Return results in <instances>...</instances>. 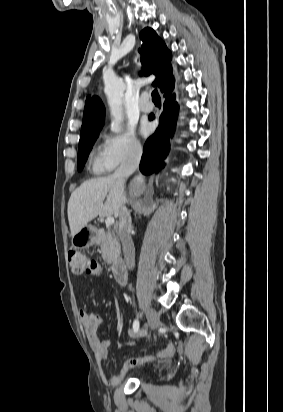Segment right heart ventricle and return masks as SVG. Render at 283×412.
<instances>
[{"label":"right heart ventricle","instance_id":"e07e8e85","mask_svg":"<svg viewBox=\"0 0 283 412\" xmlns=\"http://www.w3.org/2000/svg\"><path fill=\"white\" fill-rule=\"evenodd\" d=\"M90 163H91L92 170L97 173L107 171L101 162L100 153L99 154L93 153Z\"/></svg>","mask_w":283,"mask_h":412}]
</instances>
